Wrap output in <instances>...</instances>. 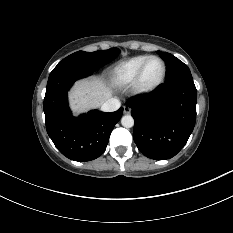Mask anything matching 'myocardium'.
<instances>
[{"label":"myocardium","mask_w":233,"mask_h":233,"mask_svg":"<svg viewBox=\"0 0 233 233\" xmlns=\"http://www.w3.org/2000/svg\"><path fill=\"white\" fill-rule=\"evenodd\" d=\"M152 59H157L161 62L162 64V74H161V77L159 78V80L151 85H145L143 83V75H144V71H145V68L148 64V62ZM166 74H167V66H166V63L165 61L159 57V56H156V55H151V56H148L145 61L142 63V65L140 66L139 70H138V73L132 83V91L134 94L136 95H146V94H149L153 91H155L159 86L162 85V83L164 82L165 80V77H166Z\"/></svg>","instance_id":"1"}]
</instances>
